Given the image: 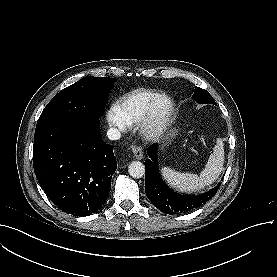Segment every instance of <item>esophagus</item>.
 <instances>
[{"label": "esophagus", "mask_w": 277, "mask_h": 277, "mask_svg": "<svg viewBox=\"0 0 277 277\" xmlns=\"http://www.w3.org/2000/svg\"><path fill=\"white\" fill-rule=\"evenodd\" d=\"M131 148L136 159L140 160L143 158L144 152L141 147L133 145Z\"/></svg>", "instance_id": "1"}]
</instances>
